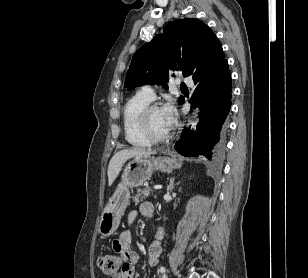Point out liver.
I'll list each match as a JSON object with an SVG mask.
<instances>
[{
	"label": "liver",
	"mask_w": 308,
	"mask_h": 278,
	"mask_svg": "<svg viewBox=\"0 0 308 278\" xmlns=\"http://www.w3.org/2000/svg\"><path fill=\"white\" fill-rule=\"evenodd\" d=\"M152 154H155V152L144 148L124 149L115 153L108 165L107 175L109 186L113 184L114 180L120 173L122 166L128 159L140 156H149Z\"/></svg>",
	"instance_id": "obj_1"
}]
</instances>
